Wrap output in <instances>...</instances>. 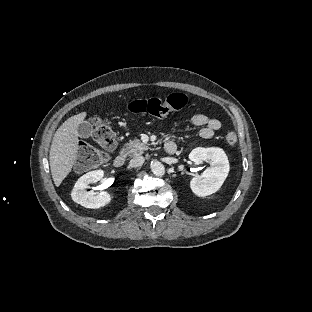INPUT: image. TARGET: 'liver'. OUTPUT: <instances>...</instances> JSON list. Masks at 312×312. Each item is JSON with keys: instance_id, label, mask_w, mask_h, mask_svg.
<instances>
[{"instance_id": "1", "label": "liver", "mask_w": 312, "mask_h": 312, "mask_svg": "<svg viewBox=\"0 0 312 312\" xmlns=\"http://www.w3.org/2000/svg\"><path fill=\"white\" fill-rule=\"evenodd\" d=\"M91 109L69 117L56 131L49 152L50 171L53 182L59 187L71 172L77 158L79 146V124L85 122Z\"/></svg>"}]
</instances>
